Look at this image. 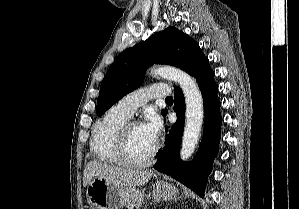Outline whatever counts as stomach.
I'll list each match as a JSON object with an SVG mask.
<instances>
[{"mask_svg": "<svg viewBox=\"0 0 299 209\" xmlns=\"http://www.w3.org/2000/svg\"><path fill=\"white\" fill-rule=\"evenodd\" d=\"M152 194L146 195L136 187L117 186L98 177L93 178L88 184L86 196L91 209H128L139 207L144 203L145 197L155 200H172L176 198L178 190L165 181H157L152 186Z\"/></svg>", "mask_w": 299, "mask_h": 209, "instance_id": "1", "label": "stomach"}]
</instances>
